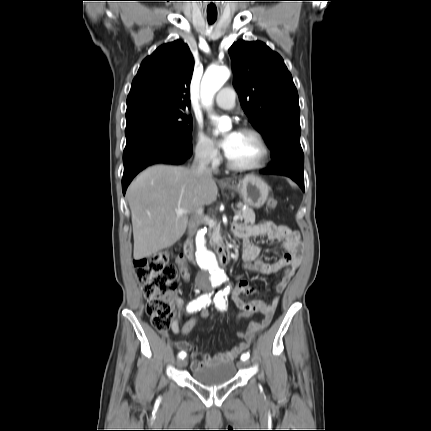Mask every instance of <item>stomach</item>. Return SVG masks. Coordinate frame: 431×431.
<instances>
[{
  "label": "stomach",
  "mask_w": 431,
  "mask_h": 431,
  "mask_svg": "<svg viewBox=\"0 0 431 431\" xmlns=\"http://www.w3.org/2000/svg\"><path fill=\"white\" fill-rule=\"evenodd\" d=\"M228 188L236 191L246 205L254 208H260L266 202L269 194L268 185L256 176H246L242 180L228 185Z\"/></svg>",
  "instance_id": "stomach-1"
}]
</instances>
